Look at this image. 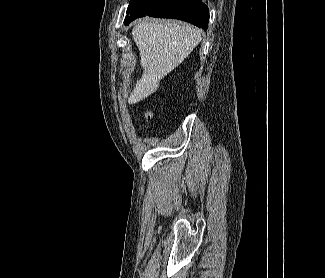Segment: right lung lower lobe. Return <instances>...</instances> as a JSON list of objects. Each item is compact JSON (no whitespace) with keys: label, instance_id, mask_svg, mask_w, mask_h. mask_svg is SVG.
I'll return each mask as SVG.
<instances>
[{"label":"right lung lower lobe","instance_id":"right-lung-lower-lobe-1","mask_svg":"<svg viewBox=\"0 0 325 278\" xmlns=\"http://www.w3.org/2000/svg\"><path fill=\"white\" fill-rule=\"evenodd\" d=\"M147 15L183 20L203 30H207L209 22L208 7L201 0H136L133 13L124 23Z\"/></svg>","mask_w":325,"mask_h":278}]
</instances>
